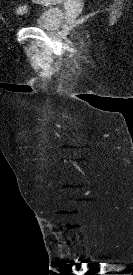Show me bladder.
Instances as JSON below:
<instances>
[{"label":"bladder","mask_w":133,"mask_h":275,"mask_svg":"<svg viewBox=\"0 0 133 275\" xmlns=\"http://www.w3.org/2000/svg\"><path fill=\"white\" fill-rule=\"evenodd\" d=\"M64 20V13L61 8L59 7H48L44 9L35 21V26L48 30L53 31L56 30L62 21Z\"/></svg>","instance_id":"1"}]
</instances>
